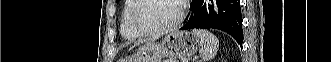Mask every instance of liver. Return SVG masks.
I'll list each match as a JSON object with an SVG mask.
<instances>
[{
	"label": "liver",
	"instance_id": "liver-1",
	"mask_svg": "<svg viewBox=\"0 0 331 62\" xmlns=\"http://www.w3.org/2000/svg\"><path fill=\"white\" fill-rule=\"evenodd\" d=\"M154 39H156V38H152V39H150V40H154ZM140 42H143V41H140Z\"/></svg>",
	"mask_w": 331,
	"mask_h": 62
}]
</instances>
